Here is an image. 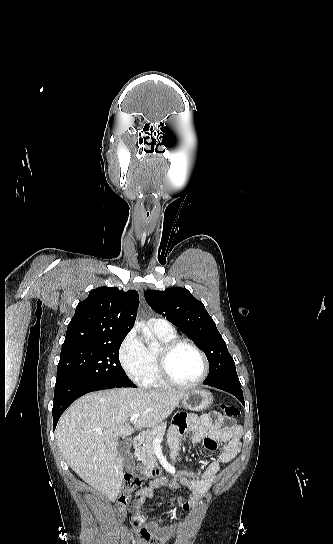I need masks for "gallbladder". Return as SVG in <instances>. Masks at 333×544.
Segmentation results:
<instances>
[{
    "label": "gallbladder",
    "mask_w": 333,
    "mask_h": 544,
    "mask_svg": "<svg viewBox=\"0 0 333 544\" xmlns=\"http://www.w3.org/2000/svg\"><path fill=\"white\" fill-rule=\"evenodd\" d=\"M117 455L123 459L124 467L129 471H134L136 468L134 458L130 453V442L127 440L120 441L117 445Z\"/></svg>",
    "instance_id": "bac80fb5"
}]
</instances>
